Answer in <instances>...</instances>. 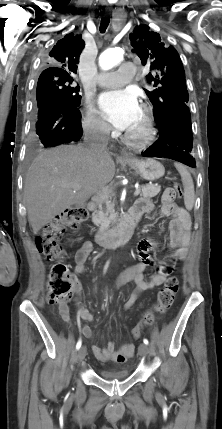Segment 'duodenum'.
Instances as JSON below:
<instances>
[{
	"instance_id": "1",
	"label": "duodenum",
	"mask_w": 222,
	"mask_h": 429,
	"mask_svg": "<svg viewBox=\"0 0 222 429\" xmlns=\"http://www.w3.org/2000/svg\"><path fill=\"white\" fill-rule=\"evenodd\" d=\"M90 212L97 210V203L90 202L87 206ZM141 213L131 210L121 221L120 225L111 232L104 233L98 232L95 236L97 244L105 248H114L126 243L133 234L139 220Z\"/></svg>"
}]
</instances>
